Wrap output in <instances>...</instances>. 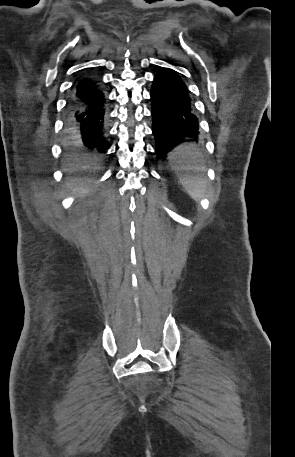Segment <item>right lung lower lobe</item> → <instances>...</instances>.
I'll list each match as a JSON object with an SVG mask.
<instances>
[{
    "instance_id": "1",
    "label": "right lung lower lobe",
    "mask_w": 295,
    "mask_h": 457,
    "mask_svg": "<svg viewBox=\"0 0 295 457\" xmlns=\"http://www.w3.org/2000/svg\"><path fill=\"white\" fill-rule=\"evenodd\" d=\"M106 99L100 81L81 76L72 86L68 101V120L81 131L82 146L94 154L107 150L105 142Z\"/></svg>"
}]
</instances>
